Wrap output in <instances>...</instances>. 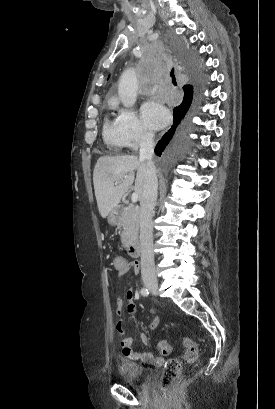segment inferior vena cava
Wrapping results in <instances>:
<instances>
[{
	"label": "inferior vena cava",
	"mask_w": 275,
	"mask_h": 409,
	"mask_svg": "<svg viewBox=\"0 0 275 409\" xmlns=\"http://www.w3.org/2000/svg\"><path fill=\"white\" fill-rule=\"evenodd\" d=\"M153 152V132L141 130L140 158L147 160L143 194L140 200L141 275L143 281H157L153 253L152 217L156 205L158 178L156 166L152 160Z\"/></svg>",
	"instance_id": "1"
}]
</instances>
